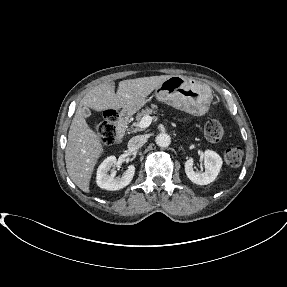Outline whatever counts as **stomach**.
I'll use <instances>...</instances> for the list:
<instances>
[{"label": "stomach", "instance_id": "stomach-1", "mask_svg": "<svg viewBox=\"0 0 287 287\" xmlns=\"http://www.w3.org/2000/svg\"><path fill=\"white\" fill-rule=\"evenodd\" d=\"M154 94L157 100L195 116L204 115L212 101V91L207 84L180 75L165 80Z\"/></svg>", "mask_w": 287, "mask_h": 287}]
</instances>
